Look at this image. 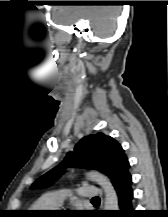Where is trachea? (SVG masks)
<instances>
[{
    "instance_id": "trachea-1",
    "label": "trachea",
    "mask_w": 168,
    "mask_h": 217,
    "mask_svg": "<svg viewBox=\"0 0 168 217\" xmlns=\"http://www.w3.org/2000/svg\"><path fill=\"white\" fill-rule=\"evenodd\" d=\"M93 200H99V198H98V197H95Z\"/></svg>"
}]
</instances>
